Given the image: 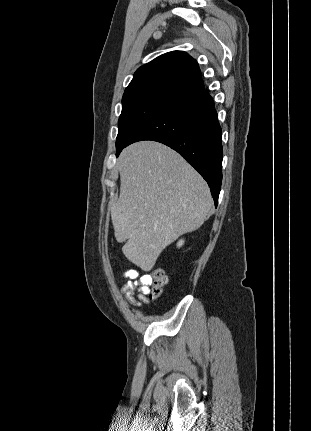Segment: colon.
I'll list each match as a JSON object with an SVG mask.
<instances>
[{"instance_id": "obj_1", "label": "colon", "mask_w": 311, "mask_h": 431, "mask_svg": "<svg viewBox=\"0 0 311 431\" xmlns=\"http://www.w3.org/2000/svg\"><path fill=\"white\" fill-rule=\"evenodd\" d=\"M149 277L150 296L154 298L159 297L168 282L167 276L162 269L155 268L151 270Z\"/></svg>"}]
</instances>
